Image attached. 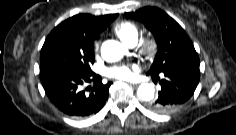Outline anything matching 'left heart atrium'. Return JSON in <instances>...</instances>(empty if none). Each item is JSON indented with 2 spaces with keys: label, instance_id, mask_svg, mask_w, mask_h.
<instances>
[{
  "label": "left heart atrium",
  "instance_id": "obj_1",
  "mask_svg": "<svg viewBox=\"0 0 236 135\" xmlns=\"http://www.w3.org/2000/svg\"><path fill=\"white\" fill-rule=\"evenodd\" d=\"M136 69L134 64H123L115 66L108 71V75L120 79H128L132 76L133 70Z\"/></svg>",
  "mask_w": 236,
  "mask_h": 135
}]
</instances>
